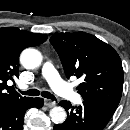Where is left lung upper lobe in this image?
Segmentation results:
<instances>
[{
  "mask_svg": "<svg viewBox=\"0 0 130 130\" xmlns=\"http://www.w3.org/2000/svg\"><path fill=\"white\" fill-rule=\"evenodd\" d=\"M50 42L59 54L66 77L83 80L77 87L82 98L115 112L123 89V68L117 52L85 32L57 33Z\"/></svg>",
  "mask_w": 130,
  "mask_h": 130,
  "instance_id": "left-lung-upper-lobe-1",
  "label": "left lung upper lobe"
}]
</instances>
